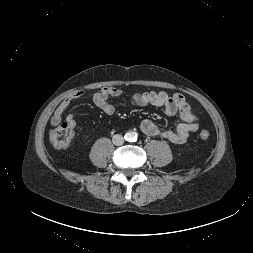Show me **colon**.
Wrapping results in <instances>:
<instances>
[{
    "label": "colon",
    "instance_id": "5ec220e1",
    "mask_svg": "<svg viewBox=\"0 0 253 253\" xmlns=\"http://www.w3.org/2000/svg\"><path fill=\"white\" fill-rule=\"evenodd\" d=\"M73 135V126L68 122H64L51 130L49 139L54 147L66 148L69 146ZM209 137L210 133L207 129H204L200 132V138L202 140H207Z\"/></svg>",
    "mask_w": 253,
    "mask_h": 253
}]
</instances>
